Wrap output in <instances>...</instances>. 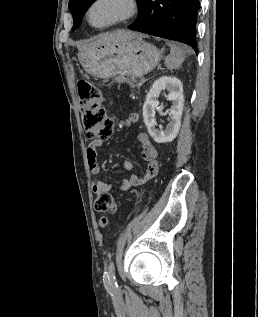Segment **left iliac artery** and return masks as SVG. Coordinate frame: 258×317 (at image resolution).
Returning <instances> with one entry per match:
<instances>
[{
  "mask_svg": "<svg viewBox=\"0 0 258 317\" xmlns=\"http://www.w3.org/2000/svg\"><path fill=\"white\" fill-rule=\"evenodd\" d=\"M109 274L111 279V286L107 289L108 293L115 294L120 292V288L117 283V279L115 276V265L114 262L111 261L109 264Z\"/></svg>",
  "mask_w": 258,
  "mask_h": 317,
  "instance_id": "44dca946",
  "label": "left iliac artery"
}]
</instances>
